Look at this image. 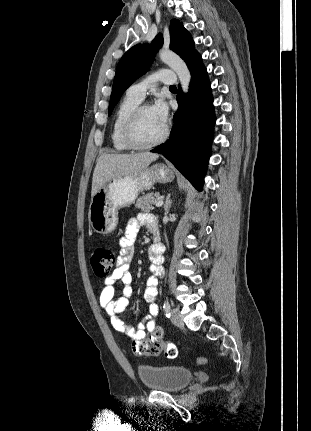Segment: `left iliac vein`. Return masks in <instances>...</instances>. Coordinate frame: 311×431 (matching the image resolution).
Instances as JSON below:
<instances>
[{
	"label": "left iliac vein",
	"mask_w": 311,
	"mask_h": 431,
	"mask_svg": "<svg viewBox=\"0 0 311 431\" xmlns=\"http://www.w3.org/2000/svg\"><path fill=\"white\" fill-rule=\"evenodd\" d=\"M171 321L177 327H180V328L184 327L182 316L177 308H174L171 311Z\"/></svg>",
	"instance_id": "4c4485c4"
}]
</instances>
